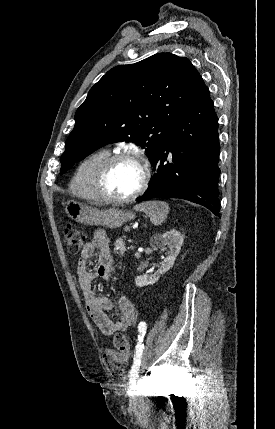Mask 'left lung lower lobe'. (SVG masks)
<instances>
[{
    "instance_id": "1",
    "label": "left lung lower lobe",
    "mask_w": 275,
    "mask_h": 429,
    "mask_svg": "<svg viewBox=\"0 0 275 429\" xmlns=\"http://www.w3.org/2000/svg\"><path fill=\"white\" fill-rule=\"evenodd\" d=\"M219 153L218 118L200 76L188 106L151 162L154 175L137 201L181 198L203 205L220 217Z\"/></svg>"
}]
</instances>
